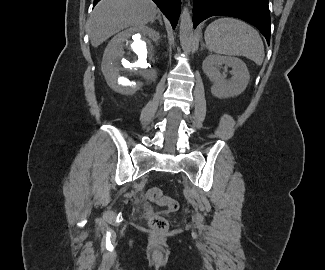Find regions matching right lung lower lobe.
<instances>
[{"label": "right lung lower lobe", "instance_id": "98d812e1", "mask_svg": "<svg viewBox=\"0 0 325 270\" xmlns=\"http://www.w3.org/2000/svg\"><path fill=\"white\" fill-rule=\"evenodd\" d=\"M100 0H94V5H96ZM160 10L165 14V16L171 22L173 28L177 25L181 0H153Z\"/></svg>", "mask_w": 325, "mask_h": 270}]
</instances>
